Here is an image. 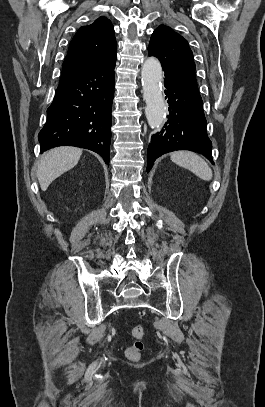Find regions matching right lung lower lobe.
<instances>
[{
  "mask_svg": "<svg viewBox=\"0 0 265 407\" xmlns=\"http://www.w3.org/2000/svg\"><path fill=\"white\" fill-rule=\"evenodd\" d=\"M116 58L59 83L38 135L41 153L56 146H76L98 153L109 164Z\"/></svg>",
  "mask_w": 265,
  "mask_h": 407,
  "instance_id": "obj_1",
  "label": "right lung lower lobe"
}]
</instances>
